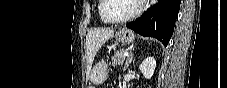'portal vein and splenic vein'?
Segmentation results:
<instances>
[{
	"label": "portal vein and splenic vein",
	"mask_w": 227,
	"mask_h": 88,
	"mask_svg": "<svg viewBox=\"0 0 227 88\" xmlns=\"http://www.w3.org/2000/svg\"><path fill=\"white\" fill-rule=\"evenodd\" d=\"M123 55H124L125 57H127V56H128V51H124Z\"/></svg>",
	"instance_id": "18ae733b"
}]
</instances>
